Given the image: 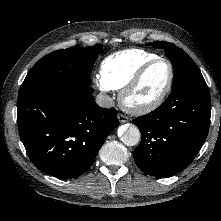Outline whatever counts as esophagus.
I'll use <instances>...</instances> for the list:
<instances>
[{"instance_id": "34e87169", "label": "esophagus", "mask_w": 221, "mask_h": 221, "mask_svg": "<svg viewBox=\"0 0 221 221\" xmlns=\"http://www.w3.org/2000/svg\"><path fill=\"white\" fill-rule=\"evenodd\" d=\"M118 119L120 123H125L129 120L128 117L123 114H118Z\"/></svg>"}]
</instances>
